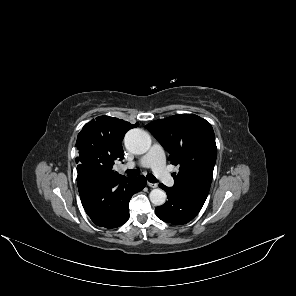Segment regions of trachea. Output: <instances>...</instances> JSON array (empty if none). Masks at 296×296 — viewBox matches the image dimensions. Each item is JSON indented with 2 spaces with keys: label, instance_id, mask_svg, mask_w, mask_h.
<instances>
[{
  "label": "trachea",
  "instance_id": "3493384b",
  "mask_svg": "<svg viewBox=\"0 0 296 296\" xmlns=\"http://www.w3.org/2000/svg\"><path fill=\"white\" fill-rule=\"evenodd\" d=\"M126 174L128 177H136L140 174V170L138 169H131V170H126ZM147 180L150 183H156L157 179L153 174H147Z\"/></svg>",
  "mask_w": 296,
  "mask_h": 296
}]
</instances>
